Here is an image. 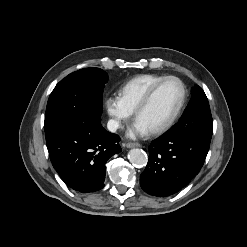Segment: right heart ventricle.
I'll list each match as a JSON object with an SVG mask.
<instances>
[{"label":"right heart ventricle","instance_id":"e07e8e85","mask_svg":"<svg viewBox=\"0 0 247 247\" xmlns=\"http://www.w3.org/2000/svg\"><path fill=\"white\" fill-rule=\"evenodd\" d=\"M165 77V75L157 74L135 76L120 87L119 98L124 106L133 113L149 89Z\"/></svg>","mask_w":247,"mask_h":247}]
</instances>
